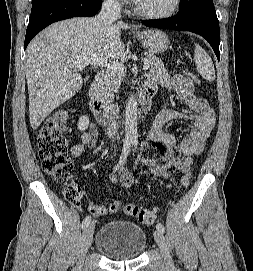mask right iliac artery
I'll return each instance as SVG.
<instances>
[{
  "mask_svg": "<svg viewBox=\"0 0 253 271\" xmlns=\"http://www.w3.org/2000/svg\"><path fill=\"white\" fill-rule=\"evenodd\" d=\"M130 146H131V142L129 141H126L124 142V145H123V149H122V153H121V156H120V159H119V162L118 164L114 167V170H117L120 166H122L123 164H125L126 162V159H127V156L130 152ZM91 221V217L90 216H87L83 222H82V228H85L86 226L89 225Z\"/></svg>",
  "mask_w": 253,
  "mask_h": 271,
  "instance_id": "82829eb1",
  "label": "right iliac artery"
}]
</instances>
